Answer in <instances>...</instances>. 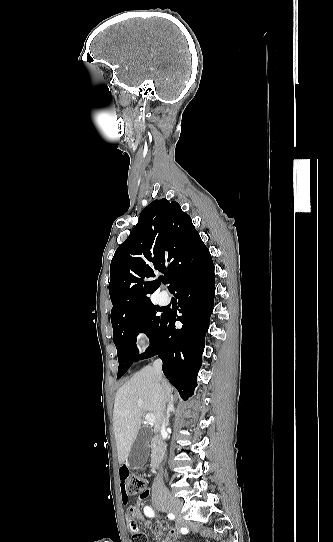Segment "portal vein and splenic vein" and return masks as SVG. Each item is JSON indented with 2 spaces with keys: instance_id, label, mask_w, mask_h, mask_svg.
Here are the masks:
<instances>
[{
  "instance_id": "1",
  "label": "portal vein and splenic vein",
  "mask_w": 333,
  "mask_h": 542,
  "mask_svg": "<svg viewBox=\"0 0 333 542\" xmlns=\"http://www.w3.org/2000/svg\"><path fill=\"white\" fill-rule=\"evenodd\" d=\"M145 420H146L147 424H154V422H155L154 414H146Z\"/></svg>"
}]
</instances>
